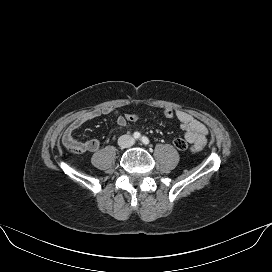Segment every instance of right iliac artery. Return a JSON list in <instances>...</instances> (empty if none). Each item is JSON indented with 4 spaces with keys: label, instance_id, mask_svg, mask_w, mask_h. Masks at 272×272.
<instances>
[{
    "label": "right iliac artery",
    "instance_id": "right-iliac-artery-1",
    "mask_svg": "<svg viewBox=\"0 0 272 272\" xmlns=\"http://www.w3.org/2000/svg\"><path fill=\"white\" fill-rule=\"evenodd\" d=\"M133 136H134L135 139H138V138H140V133L139 132H135Z\"/></svg>",
    "mask_w": 272,
    "mask_h": 272
}]
</instances>
